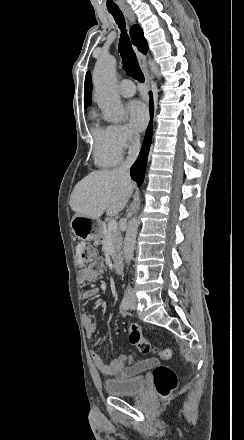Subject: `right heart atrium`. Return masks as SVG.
<instances>
[{
    "label": "right heart atrium",
    "mask_w": 244,
    "mask_h": 440,
    "mask_svg": "<svg viewBox=\"0 0 244 440\" xmlns=\"http://www.w3.org/2000/svg\"><path fill=\"white\" fill-rule=\"evenodd\" d=\"M106 130V151L121 152L130 147L136 140L135 132L125 124H110Z\"/></svg>",
    "instance_id": "d8ad5b80"
}]
</instances>
